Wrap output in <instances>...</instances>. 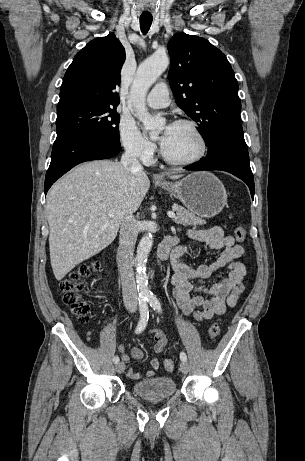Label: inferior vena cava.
I'll return each instance as SVG.
<instances>
[{
  "label": "inferior vena cava",
  "mask_w": 305,
  "mask_h": 461,
  "mask_svg": "<svg viewBox=\"0 0 305 461\" xmlns=\"http://www.w3.org/2000/svg\"><path fill=\"white\" fill-rule=\"evenodd\" d=\"M122 166L128 172H143V166L137 159V153L126 150L121 157ZM138 236L137 222L132 214L123 217L119 238V271L122 283L124 305L127 309H137L138 296L133 272L134 247Z\"/></svg>",
  "instance_id": "obj_1"
}]
</instances>
